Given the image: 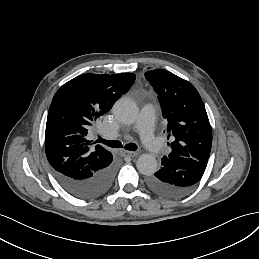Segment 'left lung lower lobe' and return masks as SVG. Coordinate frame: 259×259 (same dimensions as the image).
<instances>
[{"label":"left lung lower lobe","instance_id":"1","mask_svg":"<svg viewBox=\"0 0 259 259\" xmlns=\"http://www.w3.org/2000/svg\"><path fill=\"white\" fill-rule=\"evenodd\" d=\"M161 169L147 178V185L166 198L181 197L190 192L201 179L207 163L193 158H162Z\"/></svg>","mask_w":259,"mask_h":259}]
</instances>
